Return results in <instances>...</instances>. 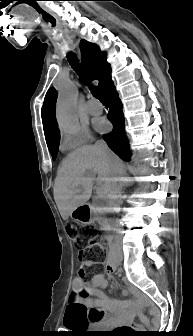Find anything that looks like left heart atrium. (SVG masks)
Listing matches in <instances>:
<instances>
[{"label":"left heart atrium","mask_w":193,"mask_h":336,"mask_svg":"<svg viewBox=\"0 0 193 336\" xmlns=\"http://www.w3.org/2000/svg\"><path fill=\"white\" fill-rule=\"evenodd\" d=\"M97 128L99 130H102V131L106 130L107 129V122L105 120L98 121L97 122Z\"/></svg>","instance_id":"39dd6f15"}]
</instances>
